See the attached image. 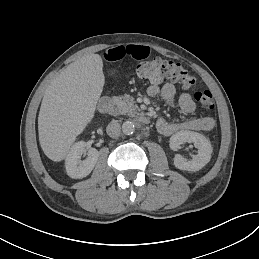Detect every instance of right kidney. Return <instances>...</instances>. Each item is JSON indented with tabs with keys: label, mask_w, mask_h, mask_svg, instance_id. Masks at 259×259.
Instances as JSON below:
<instances>
[{
	"label": "right kidney",
	"mask_w": 259,
	"mask_h": 259,
	"mask_svg": "<svg viewBox=\"0 0 259 259\" xmlns=\"http://www.w3.org/2000/svg\"><path fill=\"white\" fill-rule=\"evenodd\" d=\"M83 153H87V158L81 161ZM98 151L95 148L88 147L86 142L79 141L70 149L65 166L68 176L74 179L86 177L93 170L98 160Z\"/></svg>",
	"instance_id": "right-kidney-1"
}]
</instances>
